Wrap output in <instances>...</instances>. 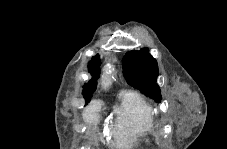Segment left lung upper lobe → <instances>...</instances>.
I'll use <instances>...</instances> for the list:
<instances>
[{
  "instance_id": "1",
  "label": "left lung upper lobe",
  "mask_w": 227,
  "mask_h": 149,
  "mask_svg": "<svg viewBox=\"0 0 227 149\" xmlns=\"http://www.w3.org/2000/svg\"><path fill=\"white\" fill-rule=\"evenodd\" d=\"M123 74L129 85L139 89L156 102H161V90L156 83L159 74L158 65L148 48L129 51L125 54Z\"/></svg>"
}]
</instances>
